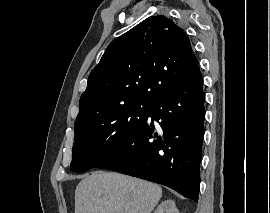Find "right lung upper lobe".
I'll list each match as a JSON object with an SVG mask.
<instances>
[{
  "instance_id": "obj_1",
  "label": "right lung upper lobe",
  "mask_w": 270,
  "mask_h": 213,
  "mask_svg": "<svg viewBox=\"0 0 270 213\" xmlns=\"http://www.w3.org/2000/svg\"><path fill=\"white\" fill-rule=\"evenodd\" d=\"M197 67L184 31L167 17L151 16L107 47L90 73L76 123L130 103L154 104Z\"/></svg>"
}]
</instances>
